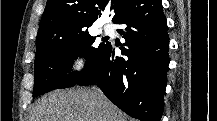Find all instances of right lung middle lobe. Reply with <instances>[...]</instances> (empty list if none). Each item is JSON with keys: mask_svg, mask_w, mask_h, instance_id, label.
<instances>
[{"mask_svg": "<svg viewBox=\"0 0 217 121\" xmlns=\"http://www.w3.org/2000/svg\"><path fill=\"white\" fill-rule=\"evenodd\" d=\"M108 42L95 43V37L88 33V27L72 33L62 39L36 46L35 80L33 97L59 88L74 86L103 54ZM78 56L86 58L83 71L75 77L66 76L61 70L70 69L71 61Z\"/></svg>", "mask_w": 217, "mask_h": 121, "instance_id": "right-lung-middle-lobe-1", "label": "right lung middle lobe"}]
</instances>
